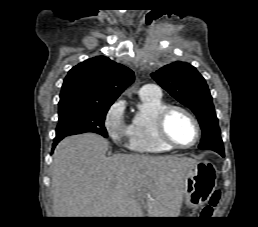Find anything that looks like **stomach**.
Returning <instances> with one entry per match:
<instances>
[{"mask_svg": "<svg viewBox=\"0 0 258 227\" xmlns=\"http://www.w3.org/2000/svg\"><path fill=\"white\" fill-rule=\"evenodd\" d=\"M217 186V169L209 161L197 162L186 171L184 197L189 208L205 204Z\"/></svg>", "mask_w": 258, "mask_h": 227, "instance_id": "obj_1", "label": "stomach"}]
</instances>
